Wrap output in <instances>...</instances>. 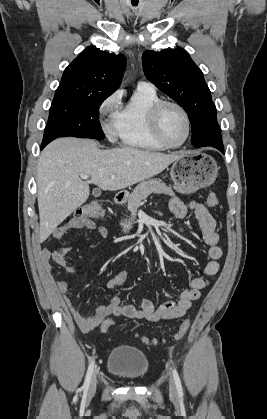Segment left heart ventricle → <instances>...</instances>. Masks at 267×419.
Returning <instances> with one entry per match:
<instances>
[{
    "label": "left heart ventricle",
    "instance_id": "1",
    "mask_svg": "<svg viewBox=\"0 0 267 419\" xmlns=\"http://www.w3.org/2000/svg\"><path fill=\"white\" fill-rule=\"evenodd\" d=\"M160 127L164 138L171 144L180 143L186 134V124L180 111L167 106L160 117Z\"/></svg>",
    "mask_w": 267,
    "mask_h": 419
}]
</instances>
